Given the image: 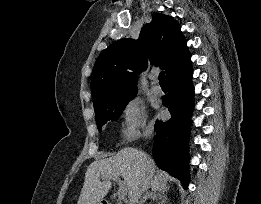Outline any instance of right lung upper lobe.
<instances>
[{
    "label": "right lung upper lobe",
    "mask_w": 261,
    "mask_h": 204,
    "mask_svg": "<svg viewBox=\"0 0 261 204\" xmlns=\"http://www.w3.org/2000/svg\"><path fill=\"white\" fill-rule=\"evenodd\" d=\"M188 62L190 54L178 23L170 16L155 13L138 40L121 39L101 52L91 77L93 106L137 92V75L148 64L159 65L168 78Z\"/></svg>",
    "instance_id": "obj_1"
}]
</instances>
